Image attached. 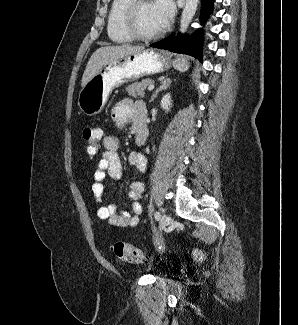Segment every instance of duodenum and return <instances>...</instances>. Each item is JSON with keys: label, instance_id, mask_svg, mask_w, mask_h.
Wrapping results in <instances>:
<instances>
[{"label": "duodenum", "instance_id": "410a0bca", "mask_svg": "<svg viewBox=\"0 0 298 325\" xmlns=\"http://www.w3.org/2000/svg\"><path fill=\"white\" fill-rule=\"evenodd\" d=\"M132 122L138 142H144L148 136L147 107L145 103H136L133 109Z\"/></svg>", "mask_w": 298, "mask_h": 325}]
</instances>
